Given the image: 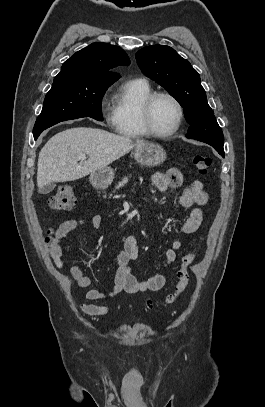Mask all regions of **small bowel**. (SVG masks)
<instances>
[{"instance_id": "small-bowel-1", "label": "small bowel", "mask_w": 265, "mask_h": 407, "mask_svg": "<svg viewBox=\"0 0 265 407\" xmlns=\"http://www.w3.org/2000/svg\"><path fill=\"white\" fill-rule=\"evenodd\" d=\"M151 183L159 192H165L169 188H177L182 185L183 177L181 173L172 168L165 173H154L150 178ZM209 195L204 190L202 181L193 180L182 192L180 203L184 208H190L191 211L188 217L184 220L181 226V231L184 236H189L195 233L203 220V212L201 207L207 205ZM101 217L92 215L89 217L72 218L64 221L57 228L54 234V244L51 246V257L57 268L63 267L61 260L62 251L59 247V242L70 232L80 228L87 227L90 229H98L101 226ZM121 247L115 256V264L117 267L114 278V286L109 291L100 290L93 285V280L85 275L80 267L73 265L69 269L71 278L82 288L86 289L85 297L90 303L80 304L81 311L88 316H104L108 314L112 307L109 304L103 303L112 300L122 292L134 294L149 291L160 290L165 282L166 275L163 272L157 273L149 279L139 280L132 273L129 262L139 258L137 239L133 235L123 236L120 240ZM185 240L183 238L175 239L171 243V247L164 254V266H169L176 260V251L183 247Z\"/></svg>"}]
</instances>
